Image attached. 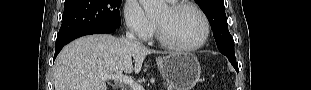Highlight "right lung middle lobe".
I'll return each mask as SVG.
<instances>
[{
  "label": "right lung middle lobe",
  "instance_id": "1",
  "mask_svg": "<svg viewBox=\"0 0 311 90\" xmlns=\"http://www.w3.org/2000/svg\"><path fill=\"white\" fill-rule=\"evenodd\" d=\"M121 0H65L57 38L89 27H120Z\"/></svg>",
  "mask_w": 311,
  "mask_h": 90
}]
</instances>
